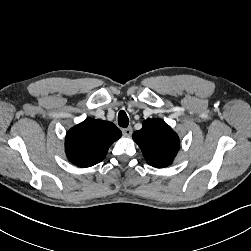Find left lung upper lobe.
<instances>
[{
    "mask_svg": "<svg viewBox=\"0 0 251 251\" xmlns=\"http://www.w3.org/2000/svg\"><path fill=\"white\" fill-rule=\"evenodd\" d=\"M146 162L156 168L169 166L179 150V137L160 119H147L141 130L133 133Z\"/></svg>",
    "mask_w": 251,
    "mask_h": 251,
    "instance_id": "5c2ea615",
    "label": "left lung upper lobe"
}]
</instances>
